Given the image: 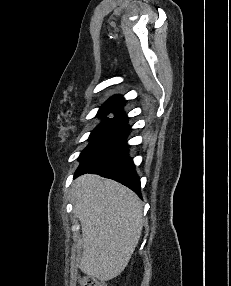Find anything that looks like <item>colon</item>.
<instances>
[{
	"label": "colon",
	"instance_id": "5ec220e1",
	"mask_svg": "<svg viewBox=\"0 0 231 286\" xmlns=\"http://www.w3.org/2000/svg\"><path fill=\"white\" fill-rule=\"evenodd\" d=\"M80 286H109V285L93 277L84 276L80 280Z\"/></svg>",
	"mask_w": 231,
	"mask_h": 286
}]
</instances>
